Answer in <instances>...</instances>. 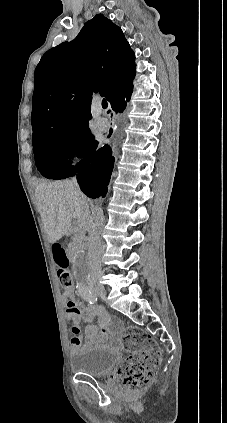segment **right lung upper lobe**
<instances>
[{
  "label": "right lung upper lobe",
  "mask_w": 227,
  "mask_h": 423,
  "mask_svg": "<svg viewBox=\"0 0 227 423\" xmlns=\"http://www.w3.org/2000/svg\"><path fill=\"white\" fill-rule=\"evenodd\" d=\"M134 59L122 30L101 14L73 41L47 51L35 70L32 141L90 133L92 93L100 91L112 107L130 97Z\"/></svg>",
  "instance_id": "obj_1"
}]
</instances>
